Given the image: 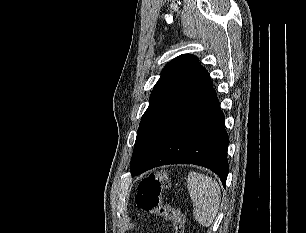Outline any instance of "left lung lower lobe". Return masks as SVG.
Listing matches in <instances>:
<instances>
[{
  "instance_id": "1",
  "label": "left lung lower lobe",
  "mask_w": 306,
  "mask_h": 233,
  "mask_svg": "<svg viewBox=\"0 0 306 233\" xmlns=\"http://www.w3.org/2000/svg\"><path fill=\"white\" fill-rule=\"evenodd\" d=\"M228 135L213 87L164 135L135 175L167 164L209 168L226 185Z\"/></svg>"
}]
</instances>
